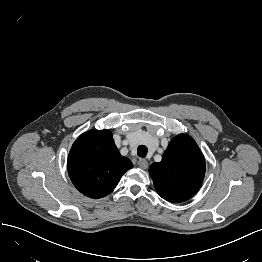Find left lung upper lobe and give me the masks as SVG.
<instances>
[{
  "label": "left lung upper lobe",
  "instance_id": "5c2ea615",
  "mask_svg": "<svg viewBox=\"0 0 262 262\" xmlns=\"http://www.w3.org/2000/svg\"><path fill=\"white\" fill-rule=\"evenodd\" d=\"M154 187L167 201L177 203L191 198L205 175V159L195 141L180 134L172 139L162 161L149 167Z\"/></svg>",
  "mask_w": 262,
  "mask_h": 262
}]
</instances>
